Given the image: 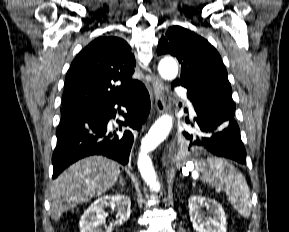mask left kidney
Returning <instances> with one entry per match:
<instances>
[{"instance_id":"5707ae66","label":"left kidney","mask_w":289,"mask_h":232,"mask_svg":"<svg viewBox=\"0 0 289 232\" xmlns=\"http://www.w3.org/2000/svg\"><path fill=\"white\" fill-rule=\"evenodd\" d=\"M189 215L196 232H226L227 222L224 209L215 201L200 195H193L188 200ZM207 217H205L206 212Z\"/></svg>"}]
</instances>
